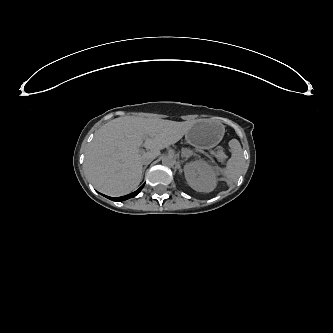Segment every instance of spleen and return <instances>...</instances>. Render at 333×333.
I'll return each instance as SVG.
<instances>
[{
    "instance_id": "3e777b00",
    "label": "spleen",
    "mask_w": 333,
    "mask_h": 333,
    "mask_svg": "<svg viewBox=\"0 0 333 333\" xmlns=\"http://www.w3.org/2000/svg\"><path fill=\"white\" fill-rule=\"evenodd\" d=\"M234 166V163H232V164H229V168H232Z\"/></svg>"
}]
</instances>
